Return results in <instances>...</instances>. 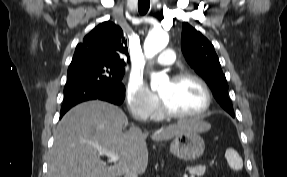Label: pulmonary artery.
Masks as SVG:
<instances>
[{"label":"pulmonary artery","mask_w":287,"mask_h":177,"mask_svg":"<svg viewBox=\"0 0 287 177\" xmlns=\"http://www.w3.org/2000/svg\"><path fill=\"white\" fill-rule=\"evenodd\" d=\"M174 60H175L174 50L168 48L163 50L153 63L159 66H167L171 65L174 62Z\"/></svg>","instance_id":"1"}]
</instances>
